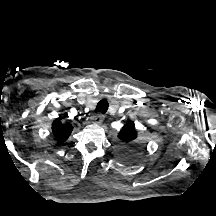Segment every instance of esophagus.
<instances>
[{"label":"esophagus","mask_w":216,"mask_h":216,"mask_svg":"<svg viewBox=\"0 0 216 216\" xmlns=\"http://www.w3.org/2000/svg\"><path fill=\"white\" fill-rule=\"evenodd\" d=\"M104 117H105L104 115L98 114V115L92 116L91 121L94 124H101L104 120Z\"/></svg>","instance_id":"obj_1"}]
</instances>
